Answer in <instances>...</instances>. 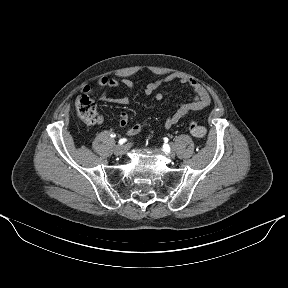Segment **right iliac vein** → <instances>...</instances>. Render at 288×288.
Masks as SVG:
<instances>
[{"label":"right iliac vein","mask_w":288,"mask_h":288,"mask_svg":"<svg viewBox=\"0 0 288 288\" xmlns=\"http://www.w3.org/2000/svg\"><path fill=\"white\" fill-rule=\"evenodd\" d=\"M113 151H114V154L117 156L122 155L125 152V146H121V145L115 146Z\"/></svg>","instance_id":"right-iliac-vein-1"}]
</instances>
